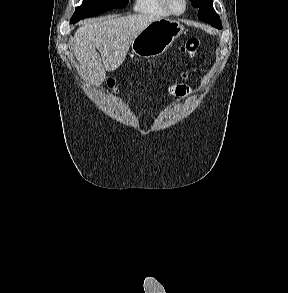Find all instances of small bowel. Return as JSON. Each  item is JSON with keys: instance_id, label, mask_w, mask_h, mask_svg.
I'll list each match as a JSON object with an SVG mask.
<instances>
[{"instance_id": "c3829d8e", "label": "small bowel", "mask_w": 288, "mask_h": 293, "mask_svg": "<svg viewBox=\"0 0 288 293\" xmlns=\"http://www.w3.org/2000/svg\"><path fill=\"white\" fill-rule=\"evenodd\" d=\"M186 87L185 86H177L176 88L173 89V92L178 95V96H183L186 94Z\"/></svg>"}]
</instances>
